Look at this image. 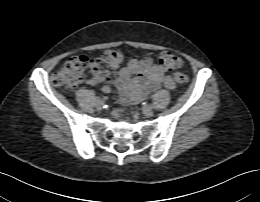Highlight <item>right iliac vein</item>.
Segmentation results:
<instances>
[{
	"mask_svg": "<svg viewBox=\"0 0 260 202\" xmlns=\"http://www.w3.org/2000/svg\"><path fill=\"white\" fill-rule=\"evenodd\" d=\"M103 106H104V103L102 101H98L97 104H96V108L98 110H102L103 109Z\"/></svg>",
	"mask_w": 260,
	"mask_h": 202,
	"instance_id": "1",
	"label": "right iliac vein"
}]
</instances>
